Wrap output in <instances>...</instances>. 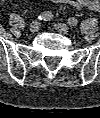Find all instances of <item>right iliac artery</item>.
<instances>
[{"label": "right iliac artery", "mask_w": 100, "mask_h": 118, "mask_svg": "<svg viewBox=\"0 0 100 118\" xmlns=\"http://www.w3.org/2000/svg\"><path fill=\"white\" fill-rule=\"evenodd\" d=\"M53 17V14L51 12H43L41 13L39 16H38V19L39 20H42V21H47V20H50L52 19Z\"/></svg>", "instance_id": "obj_1"}]
</instances>
